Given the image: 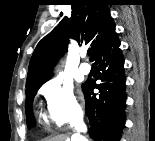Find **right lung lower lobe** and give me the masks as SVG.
Listing matches in <instances>:
<instances>
[{
  "mask_svg": "<svg viewBox=\"0 0 155 141\" xmlns=\"http://www.w3.org/2000/svg\"><path fill=\"white\" fill-rule=\"evenodd\" d=\"M116 32L110 35L98 48L93 59L101 71L96 85L91 79L83 83L86 116L90 122V136L108 141H119L125 125V82L124 58L119 48ZM99 93L95 94L94 89Z\"/></svg>",
  "mask_w": 155,
  "mask_h": 141,
  "instance_id": "1",
  "label": "right lung lower lobe"
}]
</instances>
